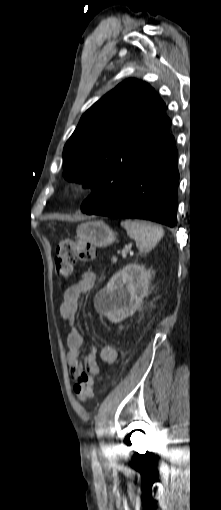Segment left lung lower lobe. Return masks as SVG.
I'll list each match as a JSON object with an SVG mask.
<instances>
[{
	"instance_id": "0a47b994",
	"label": "left lung lower lobe",
	"mask_w": 221,
	"mask_h": 510,
	"mask_svg": "<svg viewBox=\"0 0 221 510\" xmlns=\"http://www.w3.org/2000/svg\"><path fill=\"white\" fill-rule=\"evenodd\" d=\"M177 150L175 143L150 156L120 193L105 207L95 208L86 200V214L148 219L170 227L177 224Z\"/></svg>"
}]
</instances>
